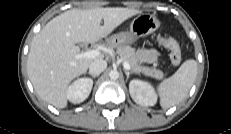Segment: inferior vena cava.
<instances>
[{"instance_id":"inferior-vena-cava-1","label":"inferior vena cava","mask_w":231,"mask_h":134,"mask_svg":"<svg viewBox=\"0 0 231 134\" xmlns=\"http://www.w3.org/2000/svg\"><path fill=\"white\" fill-rule=\"evenodd\" d=\"M106 67L107 63L105 60L97 59L89 65V72L93 75H99L106 69Z\"/></svg>"}]
</instances>
